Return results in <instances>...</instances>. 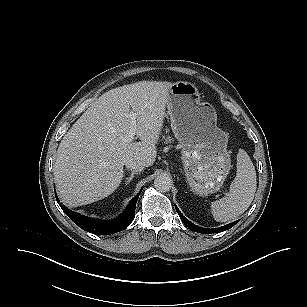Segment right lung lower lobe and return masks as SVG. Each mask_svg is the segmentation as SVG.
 I'll return each mask as SVG.
<instances>
[{
  "label": "right lung lower lobe",
  "mask_w": 307,
  "mask_h": 307,
  "mask_svg": "<svg viewBox=\"0 0 307 307\" xmlns=\"http://www.w3.org/2000/svg\"><path fill=\"white\" fill-rule=\"evenodd\" d=\"M138 198L139 194L130 201L122 215L110 221L89 218L79 213L72 212L63 206H61V208L66 215L83 230L93 234L109 235L122 231L131 224L135 217V207ZM56 200L59 203L57 196Z\"/></svg>",
  "instance_id": "1"
}]
</instances>
